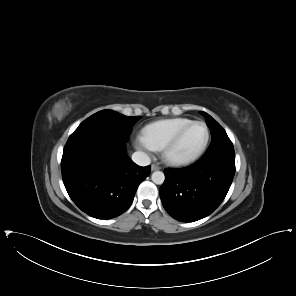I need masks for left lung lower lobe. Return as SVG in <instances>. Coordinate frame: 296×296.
<instances>
[{"label": "left lung lower lobe", "mask_w": 296, "mask_h": 296, "mask_svg": "<svg viewBox=\"0 0 296 296\" xmlns=\"http://www.w3.org/2000/svg\"><path fill=\"white\" fill-rule=\"evenodd\" d=\"M160 197L178 221L193 222L210 215L224 200L235 174V156L200 160L183 169H166Z\"/></svg>", "instance_id": "0a47b994"}]
</instances>
